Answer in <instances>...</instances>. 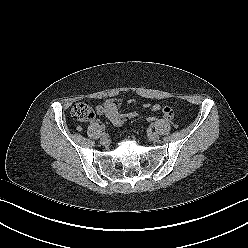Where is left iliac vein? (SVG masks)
<instances>
[{
  "instance_id": "left-iliac-vein-1",
  "label": "left iliac vein",
  "mask_w": 248,
  "mask_h": 248,
  "mask_svg": "<svg viewBox=\"0 0 248 248\" xmlns=\"http://www.w3.org/2000/svg\"><path fill=\"white\" fill-rule=\"evenodd\" d=\"M149 138L151 141L157 142L160 138L159 134L156 132H152L149 134Z\"/></svg>"
}]
</instances>
